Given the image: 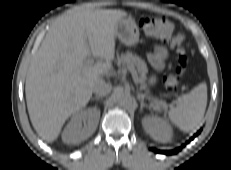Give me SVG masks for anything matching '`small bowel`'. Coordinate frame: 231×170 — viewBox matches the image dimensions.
Wrapping results in <instances>:
<instances>
[{
	"instance_id": "c3829d8e",
	"label": "small bowel",
	"mask_w": 231,
	"mask_h": 170,
	"mask_svg": "<svg viewBox=\"0 0 231 170\" xmlns=\"http://www.w3.org/2000/svg\"><path fill=\"white\" fill-rule=\"evenodd\" d=\"M167 55V50L162 46H158L150 56L151 63L157 70H161L164 67V61L167 58Z\"/></svg>"
}]
</instances>
